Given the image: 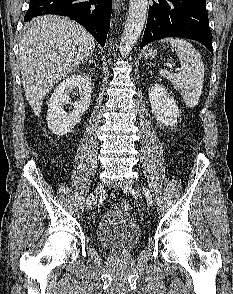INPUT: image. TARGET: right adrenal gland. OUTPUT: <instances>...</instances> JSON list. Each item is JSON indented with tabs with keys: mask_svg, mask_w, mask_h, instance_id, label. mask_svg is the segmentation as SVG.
<instances>
[{
	"mask_svg": "<svg viewBox=\"0 0 233 294\" xmlns=\"http://www.w3.org/2000/svg\"><path fill=\"white\" fill-rule=\"evenodd\" d=\"M88 63H89V64L92 63V64H94V65L96 66V62L93 60V58H90L89 61H88Z\"/></svg>",
	"mask_w": 233,
	"mask_h": 294,
	"instance_id": "obj_1",
	"label": "right adrenal gland"
}]
</instances>
